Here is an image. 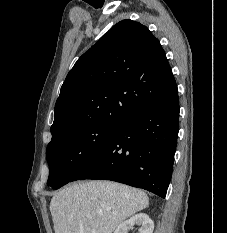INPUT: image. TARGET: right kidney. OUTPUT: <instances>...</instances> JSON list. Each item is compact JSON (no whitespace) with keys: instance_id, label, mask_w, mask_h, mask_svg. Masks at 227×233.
I'll return each mask as SVG.
<instances>
[{"instance_id":"1","label":"right kidney","mask_w":227,"mask_h":233,"mask_svg":"<svg viewBox=\"0 0 227 233\" xmlns=\"http://www.w3.org/2000/svg\"><path fill=\"white\" fill-rule=\"evenodd\" d=\"M134 225L141 227L140 233H153L154 223L145 213H139L120 224L114 233H128V230Z\"/></svg>"}]
</instances>
